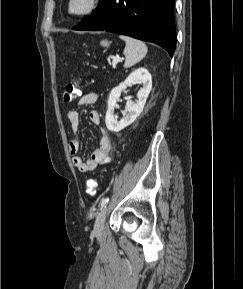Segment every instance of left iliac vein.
Masks as SVG:
<instances>
[{
  "mask_svg": "<svg viewBox=\"0 0 243 289\" xmlns=\"http://www.w3.org/2000/svg\"><path fill=\"white\" fill-rule=\"evenodd\" d=\"M106 212H107V208L104 207L101 209V211L97 215L95 225H94V233L97 235H100L104 230Z\"/></svg>",
  "mask_w": 243,
  "mask_h": 289,
  "instance_id": "left-iliac-vein-1",
  "label": "left iliac vein"
}]
</instances>
